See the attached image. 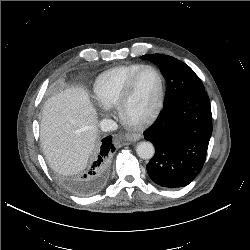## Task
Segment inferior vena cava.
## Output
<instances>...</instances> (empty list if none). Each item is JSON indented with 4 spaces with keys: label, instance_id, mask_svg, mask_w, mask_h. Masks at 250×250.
Segmentation results:
<instances>
[{
    "label": "inferior vena cava",
    "instance_id": "602c4592",
    "mask_svg": "<svg viewBox=\"0 0 250 250\" xmlns=\"http://www.w3.org/2000/svg\"><path fill=\"white\" fill-rule=\"evenodd\" d=\"M117 124L115 121H113L112 119H103L100 122V129L103 132H109V131H114L117 129Z\"/></svg>",
    "mask_w": 250,
    "mask_h": 250
}]
</instances>
